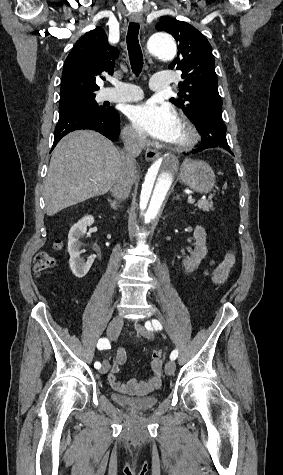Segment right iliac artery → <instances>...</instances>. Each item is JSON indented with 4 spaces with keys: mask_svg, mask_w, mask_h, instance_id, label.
<instances>
[{
    "mask_svg": "<svg viewBox=\"0 0 283 475\" xmlns=\"http://www.w3.org/2000/svg\"><path fill=\"white\" fill-rule=\"evenodd\" d=\"M109 347H110V344H109L108 339L106 338L99 339L98 344H97L98 349L100 350L107 349V348L109 349ZM94 367L96 369H99L101 367L100 362H95Z\"/></svg>",
    "mask_w": 283,
    "mask_h": 475,
    "instance_id": "82829eb1",
    "label": "right iliac artery"
}]
</instances>
